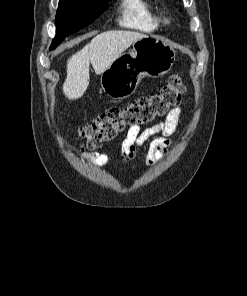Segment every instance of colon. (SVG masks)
<instances>
[{
  "instance_id": "obj_1",
  "label": "colon",
  "mask_w": 247,
  "mask_h": 296,
  "mask_svg": "<svg viewBox=\"0 0 247 296\" xmlns=\"http://www.w3.org/2000/svg\"><path fill=\"white\" fill-rule=\"evenodd\" d=\"M185 90L182 77L174 74L159 91L135 99L124 107H111L80 128L83 150H94L129 126L143 125L165 116Z\"/></svg>"
}]
</instances>
